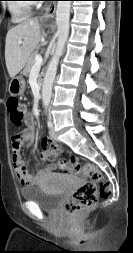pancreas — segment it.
Wrapping results in <instances>:
<instances>
[{"instance_id": "cf45deb5", "label": "pancreas", "mask_w": 133, "mask_h": 253, "mask_svg": "<svg viewBox=\"0 0 133 253\" xmlns=\"http://www.w3.org/2000/svg\"><path fill=\"white\" fill-rule=\"evenodd\" d=\"M36 55H37V52H33L29 56V59H28V61L26 63V66H25V68L23 70V74L25 76H28L29 73L31 72V69H32L33 65L35 64V57H36ZM41 75H42V73H41ZM41 75L39 76V79H38L39 82L41 81L40 80Z\"/></svg>"}]
</instances>
